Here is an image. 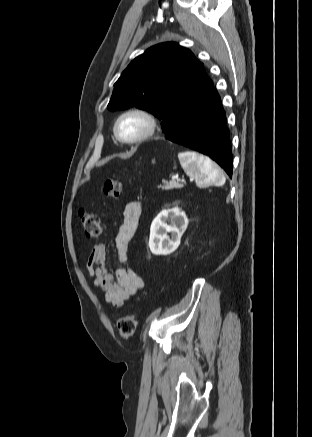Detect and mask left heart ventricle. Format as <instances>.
I'll use <instances>...</instances> for the list:
<instances>
[{"label":"left heart ventricle","mask_w":312,"mask_h":437,"mask_svg":"<svg viewBox=\"0 0 312 437\" xmlns=\"http://www.w3.org/2000/svg\"><path fill=\"white\" fill-rule=\"evenodd\" d=\"M147 128V122L140 116L125 117L119 127L120 134L126 139H132L142 134Z\"/></svg>","instance_id":"b2bd125f"}]
</instances>
